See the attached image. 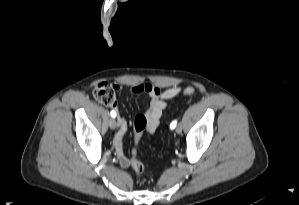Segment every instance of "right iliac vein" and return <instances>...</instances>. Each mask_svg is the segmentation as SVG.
<instances>
[{
    "mask_svg": "<svg viewBox=\"0 0 299 205\" xmlns=\"http://www.w3.org/2000/svg\"><path fill=\"white\" fill-rule=\"evenodd\" d=\"M109 126H110V128H111L112 130H114V129L116 128L117 123H116V119H115V118H111V119L109 120Z\"/></svg>",
    "mask_w": 299,
    "mask_h": 205,
    "instance_id": "1",
    "label": "right iliac vein"
}]
</instances>
